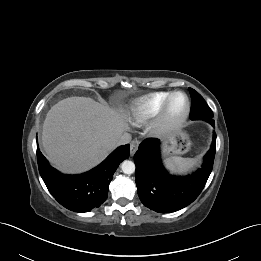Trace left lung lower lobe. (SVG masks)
Instances as JSON below:
<instances>
[{
	"instance_id": "obj_1",
	"label": "left lung lower lobe",
	"mask_w": 261,
	"mask_h": 261,
	"mask_svg": "<svg viewBox=\"0 0 261 261\" xmlns=\"http://www.w3.org/2000/svg\"><path fill=\"white\" fill-rule=\"evenodd\" d=\"M214 128V120H208ZM160 140H144L134 155L135 177L139 198L151 210L174 212L192 203L203 190L213 168L216 133L211 148L204 156L202 168L189 176H172L160 159Z\"/></svg>"
}]
</instances>
